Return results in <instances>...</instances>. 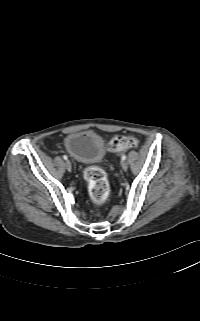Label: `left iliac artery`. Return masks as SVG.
Here are the masks:
<instances>
[{
  "mask_svg": "<svg viewBox=\"0 0 200 321\" xmlns=\"http://www.w3.org/2000/svg\"><path fill=\"white\" fill-rule=\"evenodd\" d=\"M121 158H122V160H126V155L123 154Z\"/></svg>",
  "mask_w": 200,
  "mask_h": 321,
  "instance_id": "1",
  "label": "left iliac artery"
}]
</instances>
